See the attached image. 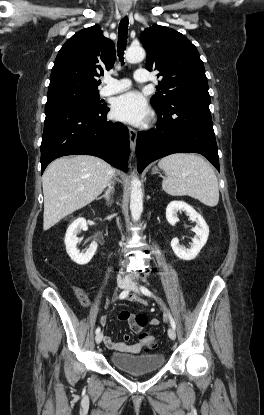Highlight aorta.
<instances>
[{"mask_svg":"<svg viewBox=\"0 0 264 415\" xmlns=\"http://www.w3.org/2000/svg\"><path fill=\"white\" fill-rule=\"evenodd\" d=\"M144 57L145 51L140 46H131L126 51V59L129 63L140 62L144 59ZM130 211L134 221L140 219L141 213L143 211V192L141 188V182L136 176H133L131 180Z\"/></svg>","mask_w":264,"mask_h":415,"instance_id":"762f6f07","label":"aorta"}]
</instances>
